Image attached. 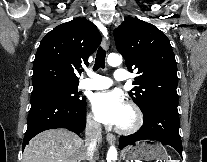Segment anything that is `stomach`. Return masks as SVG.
I'll use <instances>...</instances> for the list:
<instances>
[{
    "mask_svg": "<svg viewBox=\"0 0 207 162\" xmlns=\"http://www.w3.org/2000/svg\"><path fill=\"white\" fill-rule=\"evenodd\" d=\"M122 156L126 162H133L134 160L152 161L168 159L165 147L153 141L137 142L135 145L127 147L123 151Z\"/></svg>",
    "mask_w": 207,
    "mask_h": 162,
    "instance_id": "0dacf381",
    "label": "stomach"
}]
</instances>
